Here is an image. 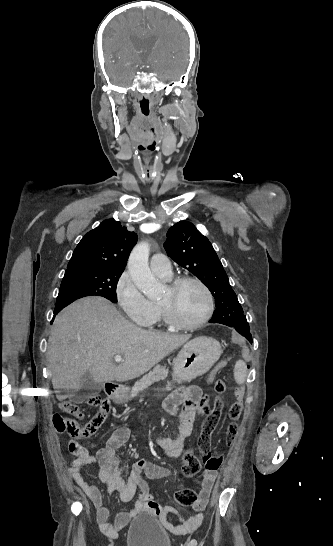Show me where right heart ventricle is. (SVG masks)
I'll return each mask as SVG.
<instances>
[{
  "label": "right heart ventricle",
  "mask_w": 333,
  "mask_h": 546,
  "mask_svg": "<svg viewBox=\"0 0 333 546\" xmlns=\"http://www.w3.org/2000/svg\"><path fill=\"white\" fill-rule=\"evenodd\" d=\"M163 279L169 280V279H166V278H163ZM156 308H157V314H156V317L154 318V320L150 323L151 326L156 325L159 322L160 318H161V312H160L158 307H156Z\"/></svg>",
  "instance_id": "e07e8e85"
}]
</instances>
